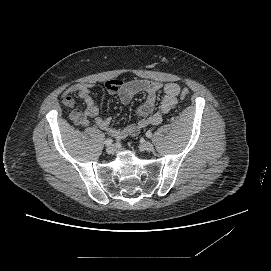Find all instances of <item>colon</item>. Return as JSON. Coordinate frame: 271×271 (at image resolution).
I'll use <instances>...</instances> for the list:
<instances>
[{
    "mask_svg": "<svg viewBox=\"0 0 271 271\" xmlns=\"http://www.w3.org/2000/svg\"><path fill=\"white\" fill-rule=\"evenodd\" d=\"M189 90L187 88H184L180 92V99H186L189 96Z\"/></svg>",
    "mask_w": 271,
    "mask_h": 271,
    "instance_id": "obj_1",
    "label": "colon"
}]
</instances>
